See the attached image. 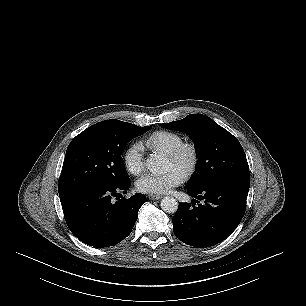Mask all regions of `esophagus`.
<instances>
[{
  "instance_id": "obj_1",
  "label": "esophagus",
  "mask_w": 306,
  "mask_h": 306,
  "mask_svg": "<svg viewBox=\"0 0 306 306\" xmlns=\"http://www.w3.org/2000/svg\"><path fill=\"white\" fill-rule=\"evenodd\" d=\"M148 198L150 200H160L162 198V196H159V195H149Z\"/></svg>"
}]
</instances>
